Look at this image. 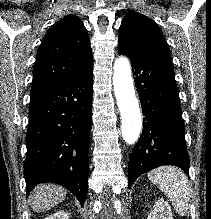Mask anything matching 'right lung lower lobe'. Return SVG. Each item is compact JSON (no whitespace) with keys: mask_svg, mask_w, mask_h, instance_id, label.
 <instances>
[{"mask_svg":"<svg viewBox=\"0 0 211 219\" xmlns=\"http://www.w3.org/2000/svg\"><path fill=\"white\" fill-rule=\"evenodd\" d=\"M93 64L54 88L30 97L24 177L27 194L53 182L81 205L88 189V149L92 118Z\"/></svg>","mask_w":211,"mask_h":219,"instance_id":"98d812e1","label":"right lung lower lobe"}]
</instances>
